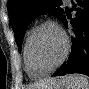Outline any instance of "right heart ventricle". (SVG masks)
Masks as SVG:
<instances>
[{
  "mask_svg": "<svg viewBox=\"0 0 89 89\" xmlns=\"http://www.w3.org/2000/svg\"><path fill=\"white\" fill-rule=\"evenodd\" d=\"M32 31L33 30H29L26 34L25 43H24L23 57H24V64H25L26 73L29 75V77L36 79V78H40L44 75H42L41 73H39L37 70H35L32 67L30 59H29L28 44H29V39H30Z\"/></svg>",
  "mask_w": 89,
  "mask_h": 89,
  "instance_id": "e07e8e85",
  "label": "right heart ventricle"
}]
</instances>
